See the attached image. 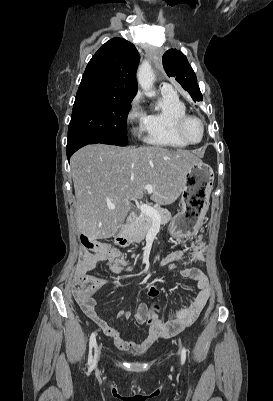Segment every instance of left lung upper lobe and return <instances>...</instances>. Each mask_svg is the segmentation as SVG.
Listing matches in <instances>:
<instances>
[{"mask_svg": "<svg viewBox=\"0 0 273 401\" xmlns=\"http://www.w3.org/2000/svg\"><path fill=\"white\" fill-rule=\"evenodd\" d=\"M163 67L168 76L175 77L194 101H202L196 75L188 63L185 55L176 49H170L163 55Z\"/></svg>", "mask_w": 273, "mask_h": 401, "instance_id": "5c2ea615", "label": "left lung upper lobe"}]
</instances>
